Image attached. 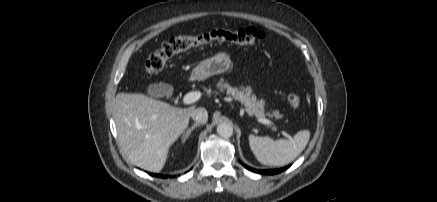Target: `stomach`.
<instances>
[{
  "label": "stomach",
  "mask_w": 437,
  "mask_h": 202,
  "mask_svg": "<svg viewBox=\"0 0 437 202\" xmlns=\"http://www.w3.org/2000/svg\"><path fill=\"white\" fill-rule=\"evenodd\" d=\"M231 59L227 52H219L211 58L200 62L192 71L193 79H204L212 75L221 74L230 67Z\"/></svg>",
  "instance_id": "1"
}]
</instances>
